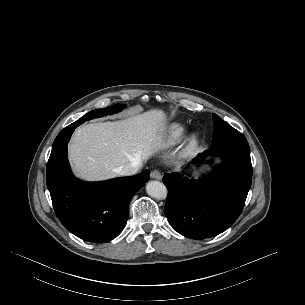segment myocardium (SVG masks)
Segmentation results:
<instances>
[{"instance_id": "1", "label": "myocardium", "mask_w": 305, "mask_h": 305, "mask_svg": "<svg viewBox=\"0 0 305 305\" xmlns=\"http://www.w3.org/2000/svg\"><path fill=\"white\" fill-rule=\"evenodd\" d=\"M195 143H196V139H195V137H192V138L190 139V146L195 145Z\"/></svg>"}]
</instances>
